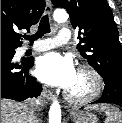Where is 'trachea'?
<instances>
[{
	"label": "trachea",
	"instance_id": "trachea-1",
	"mask_svg": "<svg viewBox=\"0 0 122 123\" xmlns=\"http://www.w3.org/2000/svg\"><path fill=\"white\" fill-rule=\"evenodd\" d=\"M50 33V24L48 15H44L39 23L38 31L31 36H24L32 44L35 40L42 38L44 34Z\"/></svg>",
	"mask_w": 122,
	"mask_h": 123
}]
</instances>
